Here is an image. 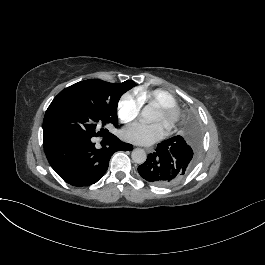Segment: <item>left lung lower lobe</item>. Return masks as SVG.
<instances>
[{
  "label": "left lung lower lobe",
  "mask_w": 265,
  "mask_h": 265,
  "mask_svg": "<svg viewBox=\"0 0 265 265\" xmlns=\"http://www.w3.org/2000/svg\"><path fill=\"white\" fill-rule=\"evenodd\" d=\"M196 157L187 141L182 136H175L159 143L156 151L138 167V172L154 185H171L191 170Z\"/></svg>",
  "instance_id": "0a47b994"
}]
</instances>
